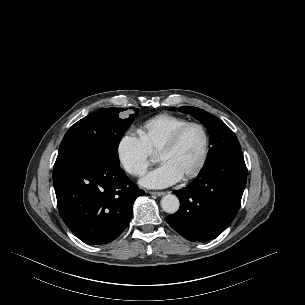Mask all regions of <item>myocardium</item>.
<instances>
[{
  "mask_svg": "<svg viewBox=\"0 0 305 305\" xmlns=\"http://www.w3.org/2000/svg\"><path fill=\"white\" fill-rule=\"evenodd\" d=\"M192 127H196L201 130L204 137V147L198 165L185 176L181 177L184 181L191 180L198 176L206 166L210 154V135L207 128L199 122H188L180 127L158 151V156H160L163 153L173 150L179 144L186 131Z\"/></svg>",
  "mask_w": 305,
  "mask_h": 305,
  "instance_id": "1",
  "label": "myocardium"
}]
</instances>
